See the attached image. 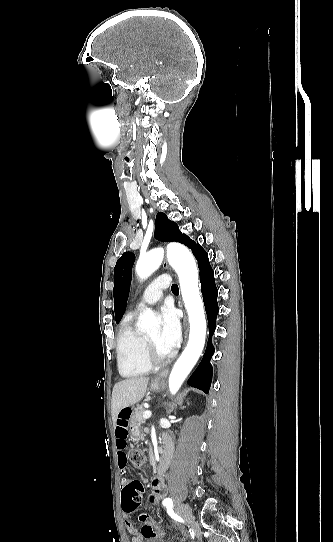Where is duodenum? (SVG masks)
Listing matches in <instances>:
<instances>
[{"label":"duodenum","instance_id":"1","mask_svg":"<svg viewBox=\"0 0 333 542\" xmlns=\"http://www.w3.org/2000/svg\"><path fill=\"white\" fill-rule=\"evenodd\" d=\"M164 448L162 451V457L156 467V473L158 476H163L166 472L171 456H172V441L168 436L164 437Z\"/></svg>","mask_w":333,"mask_h":542}]
</instances>
